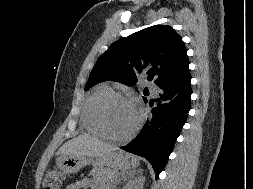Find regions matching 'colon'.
Wrapping results in <instances>:
<instances>
[{"mask_svg": "<svg viewBox=\"0 0 253 189\" xmlns=\"http://www.w3.org/2000/svg\"><path fill=\"white\" fill-rule=\"evenodd\" d=\"M64 180L63 173L55 168L49 170L44 179L45 189H59Z\"/></svg>", "mask_w": 253, "mask_h": 189, "instance_id": "obj_1", "label": "colon"}]
</instances>
